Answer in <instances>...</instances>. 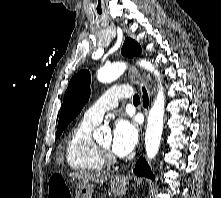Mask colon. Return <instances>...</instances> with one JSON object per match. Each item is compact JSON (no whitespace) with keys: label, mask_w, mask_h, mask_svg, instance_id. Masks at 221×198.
Segmentation results:
<instances>
[{"label":"colon","mask_w":221,"mask_h":198,"mask_svg":"<svg viewBox=\"0 0 221 198\" xmlns=\"http://www.w3.org/2000/svg\"><path fill=\"white\" fill-rule=\"evenodd\" d=\"M48 186L49 198H71L70 190L62 176H52Z\"/></svg>","instance_id":"obj_1"}]
</instances>
